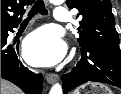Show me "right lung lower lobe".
I'll return each instance as SVG.
<instances>
[{
  "instance_id": "1",
  "label": "right lung lower lobe",
  "mask_w": 121,
  "mask_h": 94,
  "mask_svg": "<svg viewBox=\"0 0 121 94\" xmlns=\"http://www.w3.org/2000/svg\"><path fill=\"white\" fill-rule=\"evenodd\" d=\"M18 24L19 22L1 28V78L11 81L26 94H41L42 75H35L24 67L13 46L7 44L8 31L13 32Z\"/></svg>"
}]
</instances>
